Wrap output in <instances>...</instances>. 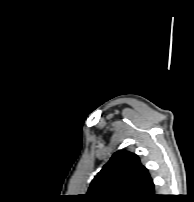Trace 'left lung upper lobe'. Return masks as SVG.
Masks as SVG:
<instances>
[{
    "label": "left lung upper lobe",
    "mask_w": 194,
    "mask_h": 202,
    "mask_svg": "<svg viewBox=\"0 0 194 202\" xmlns=\"http://www.w3.org/2000/svg\"><path fill=\"white\" fill-rule=\"evenodd\" d=\"M154 197L148 170L137 155L124 151L113 154L87 192L90 202H148Z\"/></svg>",
    "instance_id": "left-lung-upper-lobe-1"
}]
</instances>
